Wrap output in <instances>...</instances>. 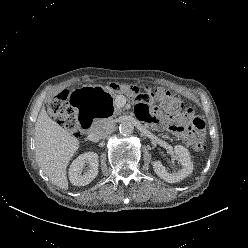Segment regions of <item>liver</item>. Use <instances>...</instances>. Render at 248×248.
Returning a JSON list of instances; mask_svg holds the SVG:
<instances>
[{"label":"liver","instance_id":"liver-1","mask_svg":"<svg viewBox=\"0 0 248 248\" xmlns=\"http://www.w3.org/2000/svg\"><path fill=\"white\" fill-rule=\"evenodd\" d=\"M35 155L44 174L59 188L68 189L66 168L79 140L41 109L35 124Z\"/></svg>","mask_w":248,"mask_h":248}]
</instances>
